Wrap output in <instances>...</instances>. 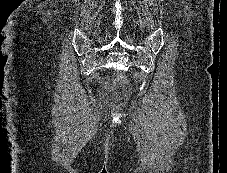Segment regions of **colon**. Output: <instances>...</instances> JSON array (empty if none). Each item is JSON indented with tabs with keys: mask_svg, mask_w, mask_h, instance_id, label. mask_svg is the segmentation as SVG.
<instances>
[{
	"mask_svg": "<svg viewBox=\"0 0 227 173\" xmlns=\"http://www.w3.org/2000/svg\"><path fill=\"white\" fill-rule=\"evenodd\" d=\"M120 80H123V77H120Z\"/></svg>",
	"mask_w": 227,
	"mask_h": 173,
	"instance_id": "obj_1",
	"label": "colon"
}]
</instances>
